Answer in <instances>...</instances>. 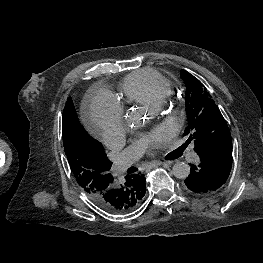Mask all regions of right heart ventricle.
<instances>
[{
  "mask_svg": "<svg viewBox=\"0 0 263 263\" xmlns=\"http://www.w3.org/2000/svg\"><path fill=\"white\" fill-rule=\"evenodd\" d=\"M120 90L130 102L155 107L172 93V85L157 70L144 68L129 73Z\"/></svg>",
  "mask_w": 263,
  "mask_h": 263,
  "instance_id": "1",
  "label": "right heart ventricle"
}]
</instances>
